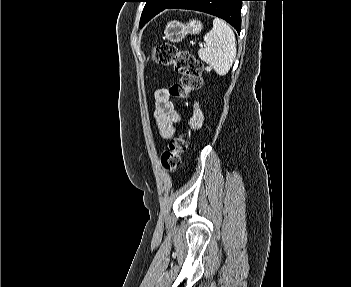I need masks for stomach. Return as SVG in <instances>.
<instances>
[{
	"mask_svg": "<svg viewBox=\"0 0 351 287\" xmlns=\"http://www.w3.org/2000/svg\"><path fill=\"white\" fill-rule=\"evenodd\" d=\"M203 26L198 20H190L188 23L170 21L167 23L164 34L165 38L171 42H180L188 34H198Z\"/></svg>",
	"mask_w": 351,
	"mask_h": 287,
	"instance_id": "0dacf381",
	"label": "stomach"
}]
</instances>
